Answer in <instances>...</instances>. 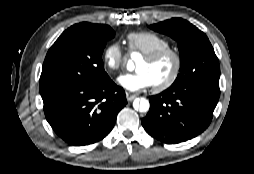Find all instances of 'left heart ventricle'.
Masks as SVG:
<instances>
[{
    "label": "left heart ventricle",
    "instance_id": "b2bd125f",
    "mask_svg": "<svg viewBox=\"0 0 254 174\" xmlns=\"http://www.w3.org/2000/svg\"><path fill=\"white\" fill-rule=\"evenodd\" d=\"M174 67V59L171 55H166L154 63H149L142 59L136 66L137 70L146 72L152 79L153 84H160L167 80Z\"/></svg>",
    "mask_w": 254,
    "mask_h": 174
}]
</instances>
